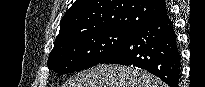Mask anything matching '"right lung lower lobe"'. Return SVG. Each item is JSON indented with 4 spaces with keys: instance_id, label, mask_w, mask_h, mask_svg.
I'll return each instance as SVG.
<instances>
[{
    "instance_id": "1",
    "label": "right lung lower lobe",
    "mask_w": 205,
    "mask_h": 87,
    "mask_svg": "<svg viewBox=\"0 0 205 87\" xmlns=\"http://www.w3.org/2000/svg\"><path fill=\"white\" fill-rule=\"evenodd\" d=\"M100 63L136 66L161 78L170 87H178L181 57L169 13L142 24Z\"/></svg>"
}]
</instances>
